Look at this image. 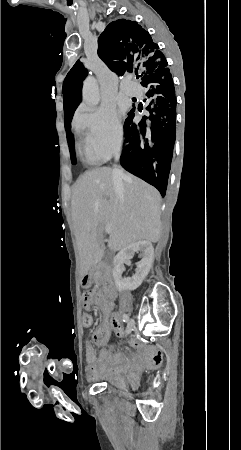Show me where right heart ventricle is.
<instances>
[{
  "instance_id": "obj_1",
  "label": "right heart ventricle",
  "mask_w": 241,
  "mask_h": 450,
  "mask_svg": "<svg viewBox=\"0 0 241 450\" xmlns=\"http://www.w3.org/2000/svg\"><path fill=\"white\" fill-rule=\"evenodd\" d=\"M80 116H89L88 113L82 114ZM88 130H76V136H77V147L79 153L84 157V159L90 163V164H98L101 162L100 159L96 158V155H84L83 148H84V133Z\"/></svg>"
}]
</instances>
